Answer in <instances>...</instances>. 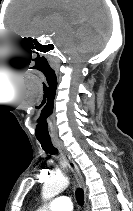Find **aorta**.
Listing matches in <instances>:
<instances>
[{
  "instance_id": "1",
  "label": "aorta",
  "mask_w": 133,
  "mask_h": 211,
  "mask_svg": "<svg viewBox=\"0 0 133 211\" xmlns=\"http://www.w3.org/2000/svg\"><path fill=\"white\" fill-rule=\"evenodd\" d=\"M69 185V180L62 176H52L44 182L42 187V197L44 200H50L51 198L58 195L61 191L66 189Z\"/></svg>"
}]
</instances>
